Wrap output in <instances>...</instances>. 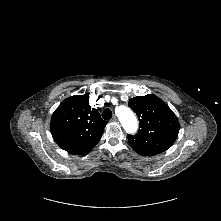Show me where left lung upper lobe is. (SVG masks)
I'll return each instance as SVG.
<instances>
[{
  "instance_id": "1",
  "label": "left lung upper lobe",
  "mask_w": 221,
  "mask_h": 221,
  "mask_svg": "<svg viewBox=\"0 0 221 221\" xmlns=\"http://www.w3.org/2000/svg\"><path fill=\"white\" fill-rule=\"evenodd\" d=\"M129 107L140 121L138 133L128 135V142L136 153L154 156L171 147L177 138L179 123L164 101L148 94L130 99Z\"/></svg>"
}]
</instances>
